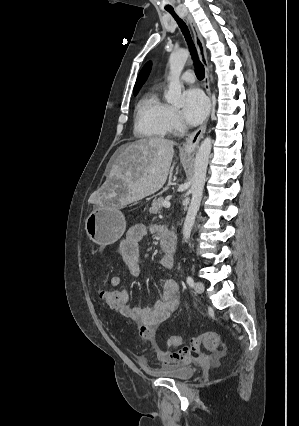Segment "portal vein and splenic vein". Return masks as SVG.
<instances>
[{"label":"portal vein and splenic vein","mask_w":299,"mask_h":426,"mask_svg":"<svg viewBox=\"0 0 299 426\" xmlns=\"http://www.w3.org/2000/svg\"><path fill=\"white\" fill-rule=\"evenodd\" d=\"M170 206H171V204H170V202H168V201H165V202L163 203V207H164V208H170Z\"/></svg>","instance_id":"18ae733b"}]
</instances>
